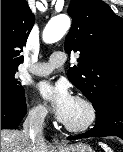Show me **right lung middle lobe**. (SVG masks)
Segmentation results:
<instances>
[{
  "instance_id": "1",
  "label": "right lung middle lobe",
  "mask_w": 123,
  "mask_h": 152,
  "mask_svg": "<svg viewBox=\"0 0 123 152\" xmlns=\"http://www.w3.org/2000/svg\"><path fill=\"white\" fill-rule=\"evenodd\" d=\"M18 69L1 67V101L20 103L25 100L24 88L15 73Z\"/></svg>"
}]
</instances>
